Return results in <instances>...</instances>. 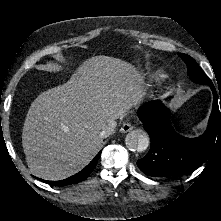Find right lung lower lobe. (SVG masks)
I'll list each match as a JSON object with an SVG mask.
<instances>
[{"instance_id": "right-lung-lower-lobe-1", "label": "right lung lower lobe", "mask_w": 221, "mask_h": 221, "mask_svg": "<svg viewBox=\"0 0 221 221\" xmlns=\"http://www.w3.org/2000/svg\"><path fill=\"white\" fill-rule=\"evenodd\" d=\"M100 153L101 151L95 156V158L85 168H83L81 171H79L78 173H76L75 175L67 179L60 180V181H45V180L43 181L53 186H67V185L77 184L85 180L93 172L99 160Z\"/></svg>"}]
</instances>
